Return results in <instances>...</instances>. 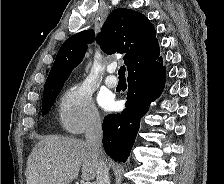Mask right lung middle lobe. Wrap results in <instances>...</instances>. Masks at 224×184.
<instances>
[{"instance_id":"dd1d6c3e","label":"right lung middle lobe","mask_w":224,"mask_h":184,"mask_svg":"<svg viewBox=\"0 0 224 184\" xmlns=\"http://www.w3.org/2000/svg\"><path fill=\"white\" fill-rule=\"evenodd\" d=\"M60 90L61 89L54 91L52 93L43 95V101H42L43 115L47 114L50 111V109L55 101V98H56L57 94L60 92Z\"/></svg>"}]
</instances>
